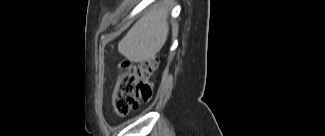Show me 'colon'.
<instances>
[{
  "mask_svg": "<svg viewBox=\"0 0 325 136\" xmlns=\"http://www.w3.org/2000/svg\"><path fill=\"white\" fill-rule=\"evenodd\" d=\"M157 58L132 65L119 72L110 95L112 110L121 116L129 114L140 101H148L153 91Z\"/></svg>",
  "mask_w": 325,
  "mask_h": 136,
  "instance_id": "obj_1",
  "label": "colon"
}]
</instances>
